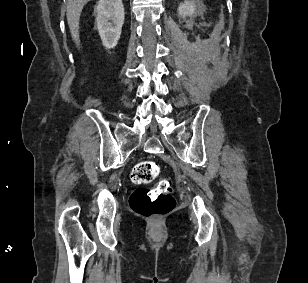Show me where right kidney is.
<instances>
[{"instance_id":"ca27d5eb","label":"right kidney","mask_w":308,"mask_h":283,"mask_svg":"<svg viewBox=\"0 0 308 283\" xmlns=\"http://www.w3.org/2000/svg\"><path fill=\"white\" fill-rule=\"evenodd\" d=\"M96 26L105 48H114L124 23L122 0H99L96 6Z\"/></svg>"}]
</instances>
